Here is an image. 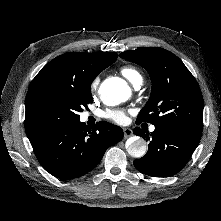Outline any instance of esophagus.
Masks as SVG:
<instances>
[{
	"mask_svg": "<svg viewBox=\"0 0 221 221\" xmlns=\"http://www.w3.org/2000/svg\"><path fill=\"white\" fill-rule=\"evenodd\" d=\"M123 132H124V137L125 138H128V137L133 135V132H132V130L130 128H124Z\"/></svg>",
	"mask_w": 221,
	"mask_h": 221,
	"instance_id": "34e87169",
	"label": "esophagus"
}]
</instances>
